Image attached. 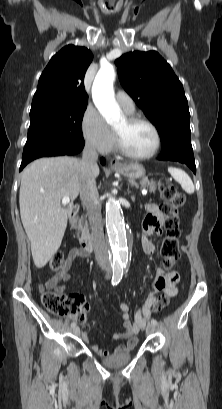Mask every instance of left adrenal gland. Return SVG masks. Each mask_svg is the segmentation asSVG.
<instances>
[{
	"mask_svg": "<svg viewBox=\"0 0 222 409\" xmlns=\"http://www.w3.org/2000/svg\"><path fill=\"white\" fill-rule=\"evenodd\" d=\"M127 192H128V194H130L129 188H128ZM131 198H132L133 201H135V197H134V196H131Z\"/></svg>",
	"mask_w": 222,
	"mask_h": 409,
	"instance_id": "left-adrenal-gland-1",
	"label": "left adrenal gland"
}]
</instances>
